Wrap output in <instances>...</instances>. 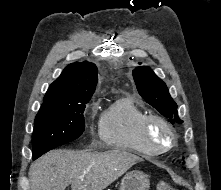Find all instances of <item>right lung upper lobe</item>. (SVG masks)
Masks as SVG:
<instances>
[{"instance_id": "cb5924a9", "label": "right lung upper lobe", "mask_w": 221, "mask_h": 190, "mask_svg": "<svg viewBox=\"0 0 221 190\" xmlns=\"http://www.w3.org/2000/svg\"><path fill=\"white\" fill-rule=\"evenodd\" d=\"M98 82L95 64L84 61L68 65L48 88L41 107H65L90 100Z\"/></svg>"}]
</instances>
